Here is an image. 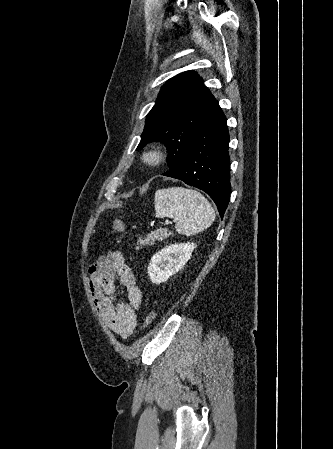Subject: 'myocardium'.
Here are the masks:
<instances>
[{
	"instance_id": "myocardium-1",
	"label": "myocardium",
	"mask_w": 333,
	"mask_h": 449,
	"mask_svg": "<svg viewBox=\"0 0 333 449\" xmlns=\"http://www.w3.org/2000/svg\"><path fill=\"white\" fill-rule=\"evenodd\" d=\"M164 158V151L158 146H152L144 150L141 155L142 162L148 166H158L164 161Z\"/></svg>"
}]
</instances>
